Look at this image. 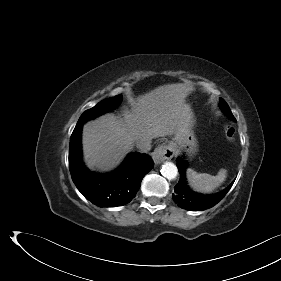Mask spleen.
<instances>
[{
	"instance_id": "3e777b00",
	"label": "spleen",
	"mask_w": 281,
	"mask_h": 281,
	"mask_svg": "<svg viewBox=\"0 0 281 281\" xmlns=\"http://www.w3.org/2000/svg\"><path fill=\"white\" fill-rule=\"evenodd\" d=\"M190 187L201 193H210L219 187L227 177V170L220 169L216 176L207 173H197L189 168L186 171Z\"/></svg>"
}]
</instances>
